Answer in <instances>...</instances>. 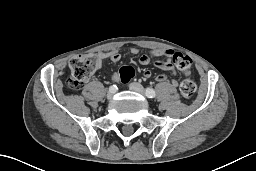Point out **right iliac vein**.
Returning a JSON list of instances; mask_svg holds the SVG:
<instances>
[{
  "label": "right iliac vein",
  "instance_id": "obj_1",
  "mask_svg": "<svg viewBox=\"0 0 256 171\" xmlns=\"http://www.w3.org/2000/svg\"><path fill=\"white\" fill-rule=\"evenodd\" d=\"M113 95H114V92L109 90L108 93H107V99H112Z\"/></svg>",
  "mask_w": 256,
  "mask_h": 171
}]
</instances>
